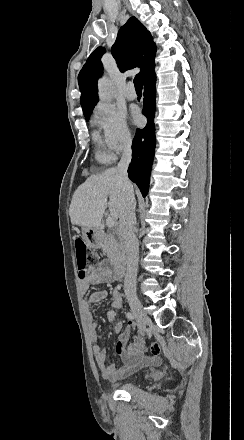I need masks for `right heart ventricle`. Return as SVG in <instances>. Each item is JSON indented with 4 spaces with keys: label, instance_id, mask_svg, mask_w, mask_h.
Wrapping results in <instances>:
<instances>
[{
    "label": "right heart ventricle",
    "instance_id": "1",
    "mask_svg": "<svg viewBox=\"0 0 244 440\" xmlns=\"http://www.w3.org/2000/svg\"><path fill=\"white\" fill-rule=\"evenodd\" d=\"M93 140L95 144L102 145V135L99 134V132H97L96 130L93 131Z\"/></svg>",
    "mask_w": 244,
    "mask_h": 440
}]
</instances>
